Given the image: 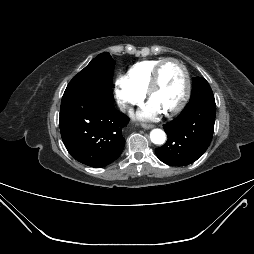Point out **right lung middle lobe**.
Listing matches in <instances>:
<instances>
[{
    "mask_svg": "<svg viewBox=\"0 0 254 254\" xmlns=\"http://www.w3.org/2000/svg\"><path fill=\"white\" fill-rule=\"evenodd\" d=\"M114 65L109 53H101L69 82L64 93L78 92L95 98L112 95Z\"/></svg>",
    "mask_w": 254,
    "mask_h": 254,
    "instance_id": "1",
    "label": "right lung middle lobe"
}]
</instances>
